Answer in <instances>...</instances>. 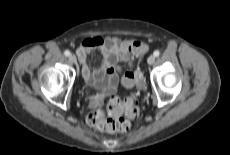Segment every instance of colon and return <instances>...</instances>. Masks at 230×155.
<instances>
[{
    "label": "colon",
    "instance_id": "5ec220e1",
    "mask_svg": "<svg viewBox=\"0 0 230 155\" xmlns=\"http://www.w3.org/2000/svg\"><path fill=\"white\" fill-rule=\"evenodd\" d=\"M146 49V45L139 41H134L126 47V54L129 57H132L145 52ZM126 77L136 86H139L142 83L141 75L137 72L127 70ZM123 107L129 118L136 119L140 112L137 95L133 94L124 102V104H122L118 98H112L109 102V109L112 110L115 115H118ZM87 123L95 129L106 132L125 133L131 128V124L127 119L118 116L107 118L105 112L101 109L90 112L87 115Z\"/></svg>",
    "mask_w": 230,
    "mask_h": 155
}]
</instances>
